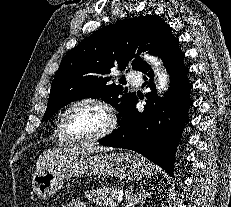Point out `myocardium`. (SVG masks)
Listing matches in <instances>:
<instances>
[{
    "mask_svg": "<svg viewBox=\"0 0 231 207\" xmlns=\"http://www.w3.org/2000/svg\"><path fill=\"white\" fill-rule=\"evenodd\" d=\"M82 103H90V104H94L100 107L105 112L106 117H107V125L104 129H102L100 132L94 135L86 136V137H79V136L74 135L72 131L70 130L69 124H68V115L70 111L75 106L82 104ZM60 121H61L62 130L65 136L69 140L77 142V143H89V142H95V141L101 140L107 137L108 135H110L111 133H113L118 124V117H117L115 109L106 100L96 97V96H86V97L78 98L74 100L73 102H71L63 111Z\"/></svg>",
    "mask_w": 231,
    "mask_h": 207,
    "instance_id": "1",
    "label": "myocardium"
}]
</instances>
